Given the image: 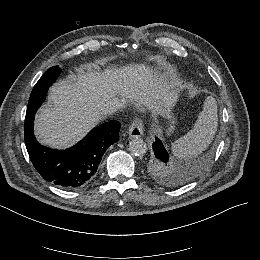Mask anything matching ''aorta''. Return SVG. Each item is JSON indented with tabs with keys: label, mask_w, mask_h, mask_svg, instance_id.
Masks as SVG:
<instances>
[{
	"label": "aorta",
	"mask_w": 260,
	"mask_h": 260,
	"mask_svg": "<svg viewBox=\"0 0 260 260\" xmlns=\"http://www.w3.org/2000/svg\"><path fill=\"white\" fill-rule=\"evenodd\" d=\"M129 151L132 155L143 156L147 151V145L143 139L135 138L129 142Z\"/></svg>",
	"instance_id": "762f6f07"
}]
</instances>
